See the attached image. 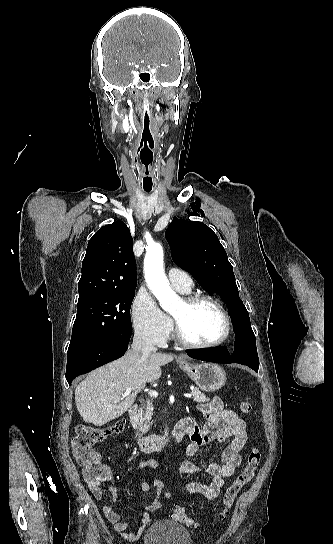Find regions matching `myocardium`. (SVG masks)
<instances>
[{"label":"myocardium","instance_id":"f54148a6","mask_svg":"<svg viewBox=\"0 0 333 544\" xmlns=\"http://www.w3.org/2000/svg\"><path fill=\"white\" fill-rule=\"evenodd\" d=\"M183 302H184L185 306L188 307V308H193V307H195L198 304L203 303V302H210V303L214 304L219 309V311L221 312V314L223 316L224 323H225V329H224V332H223L222 336L219 339H217V340H215L213 342H208V343H197V342H194V341L190 340L185 335L180 323L173 316L175 336H176V339L178 340L179 343H181L182 345H184L186 347H189V348L209 349V348L217 347V346L223 344L229 338V336L231 334V329H232L231 318H230V315H229L225 305L223 304V302L220 299H218L217 297H214L212 295H208V294H194V295L186 296L183 299Z\"/></svg>","mask_w":333,"mask_h":544}]
</instances>
